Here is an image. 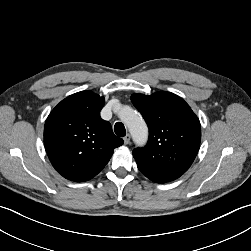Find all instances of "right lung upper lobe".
Returning a JSON list of instances; mask_svg holds the SVG:
<instances>
[{"label": "right lung upper lobe", "mask_w": 251, "mask_h": 251, "mask_svg": "<svg viewBox=\"0 0 251 251\" xmlns=\"http://www.w3.org/2000/svg\"><path fill=\"white\" fill-rule=\"evenodd\" d=\"M104 98L81 91L62 100L44 126L47 155L59 174L76 182L96 176L124 141L100 117Z\"/></svg>", "instance_id": "obj_1"}]
</instances>
